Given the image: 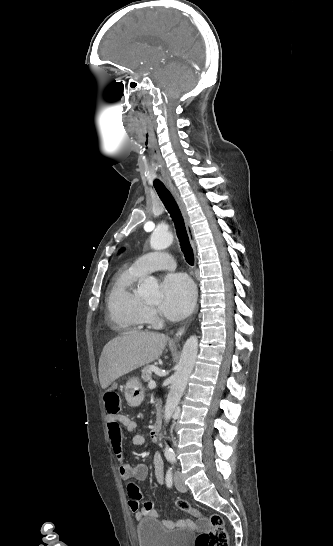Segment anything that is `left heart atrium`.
<instances>
[{"label":"left heart atrium","mask_w":333,"mask_h":546,"mask_svg":"<svg viewBox=\"0 0 333 546\" xmlns=\"http://www.w3.org/2000/svg\"><path fill=\"white\" fill-rule=\"evenodd\" d=\"M160 309L171 320L187 316L195 302V288L192 281L181 273L168 274L161 287Z\"/></svg>","instance_id":"left-heart-atrium-1"}]
</instances>
